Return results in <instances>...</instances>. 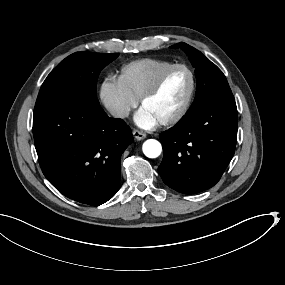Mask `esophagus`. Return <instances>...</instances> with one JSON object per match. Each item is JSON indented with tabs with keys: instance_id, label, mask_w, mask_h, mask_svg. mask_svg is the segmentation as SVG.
Masks as SVG:
<instances>
[{
	"instance_id": "1",
	"label": "esophagus",
	"mask_w": 285,
	"mask_h": 285,
	"mask_svg": "<svg viewBox=\"0 0 285 285\" xmlns=\"http://www.w3.org/2000/svg\"><path fill=\"white\" fill-rule=\"evenodd\" d=\"M133 136L137 140H142V139L146 138V134L141 132V131H139V130H134L133 131Z\"/></svg>"
}]
</instances>
